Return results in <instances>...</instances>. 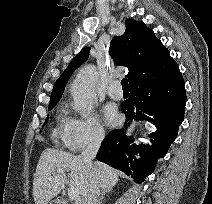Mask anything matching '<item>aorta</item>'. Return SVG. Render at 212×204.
<instances>
[{
    "label": "aorta",
    "instance_id": "aorta-1",
    "mask_svg": "<svg viewBox=\"0 0 212 204\" xmlns=\"http://www.w3.org/2000/svg\"><path fill=\"white\" fill-rule=\"evenodd\" d=\"M98 81V72L94 65L83 67L77 74L72 87L73 108L82 117L90 115L95 97V87ZM134 130V125L128 129V134Z\"/></svg>",
    "mask_w": 212,
    "mask_h": 204
}]
</instances>
